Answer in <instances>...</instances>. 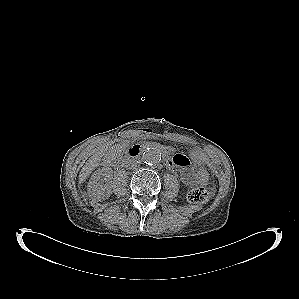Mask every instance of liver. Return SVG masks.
<instances>
[{
    "mask_svg": "<svg viewBox=\"0 0 299 299\" xmlns=\"http://www.w3.org/2000/svg\"><path fill=\"white\" fill-rule=\"evenodd\" d=\"M105 148H101L96 152L83 166L79 174V183H83L90 173L99 166L102 156L104 155Z\"/></svg>",
    "mask_w": 299,
    "mask_h": 299,
    "instance_id": "1",
    "label": "liver"
}]
</instances>
